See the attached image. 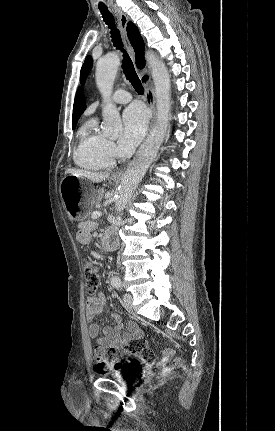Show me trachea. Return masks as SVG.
I'll return each instance as SVG.
<instances>
[{"label":"trachea","instance_id":"3493384b","mask_svg":"<svg viewBox=\"0 0 275 431\" xmlns=\"http://www.w3.org/2000/svg\"><path fill=\"white\" fill-rule=\"evenodd\" d=\"M99 9L102 14L104 22L111 29L110 33H111L113 45L116 47V49H119L123 52V60H122L123 73L125 74L126 79L129 80V82H131L136 92L142 95L144 93V88L136 74L131 58L129 57L128 53L123 49V43L120 36V32L115 26L113 16L107 8L99 7Z\"/></svg>","mask_w":275,"mask_h":431}]
</instances>
